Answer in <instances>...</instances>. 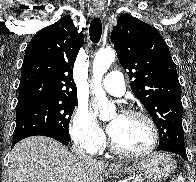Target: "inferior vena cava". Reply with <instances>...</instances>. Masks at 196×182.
Listing matches in <instances>:
<instances>
[{"mask_svg": "<svg viewBox=\"0 0 196 182\" xmlns=\"http://www.w3.org/2000/svg\"><path fill=\"white\" fill-rule=\"evenodd\" d=\"M73 149H74L75 155H76L77 157H82V158H86V159H90V158H91L89 155H87V154L84 152V150H83L81 147L75 145V146L73 147Z\"/></svg>", "mask_w": 196, "mask_h": 182, "instance_id": "inferior-vena-cava-1", "label": "inferior vena cava"}]
</instances>
